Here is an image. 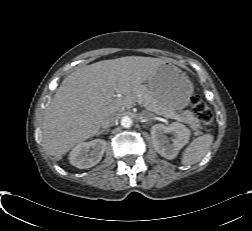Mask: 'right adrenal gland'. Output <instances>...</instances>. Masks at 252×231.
I'll list each match as a JSON object with an SVG mask.
<instances>
[{"label":"right adrenal gland","instance_id":"right-adrenal-gland-1","mask_svg":"<svg viewBox=\"0 0 252 231\" xmlns=\"http://www.w3.org/2000/svg\"><path fill=\"white\" fill-rule=\"evenodd\" d=\"M107 133L108 132V129H105V130H101L98 134L100 135V134H102V133Z\"/></svg>","mask_w":252,"mask_h":231}]
</instances>
